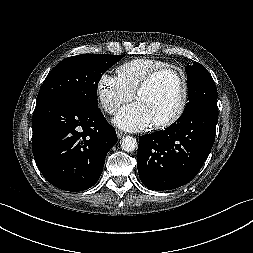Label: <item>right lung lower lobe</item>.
<instances>
[{
	"label": "right lung lower lobe",
	"mask_w": 253,
	"mask_h": 253,
	"mask_svg": "<svg viewBox=\"0 0 253 253\" xmlns=\"http://www.w3.org/2000/svg\"><path fill=\"white\" fill-rule=\"evenodd\" d=\"M33 155L43 176L55 187L82 191L100 178L115 129L99 108L49 99L36 104L32 119Z\"/></svg>",
	"instance_id": "right-lung-lower-lobe-1"
}]
</instances>
